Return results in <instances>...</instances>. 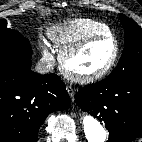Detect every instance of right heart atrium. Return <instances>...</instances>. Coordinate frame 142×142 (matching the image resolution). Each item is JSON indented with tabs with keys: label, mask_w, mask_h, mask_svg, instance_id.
<instances>
[{
	"label": "right heart atrium",
	"mask_w": 142,
	"mask_h": 142,
	"mask_svg": "<svg viewBox=\"0 0 142 142\" xmlns=\"http://www.w3.org/2000/svg\"><path fill=\"white\" fill-rule=\"evenodd\" d=\"M42 50L45 55H49V49L46 45H42Z\"/></svg>",
	"instance_id": "1"
}]
</instances>
